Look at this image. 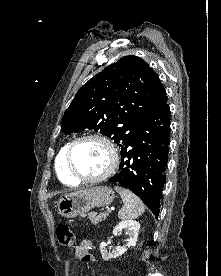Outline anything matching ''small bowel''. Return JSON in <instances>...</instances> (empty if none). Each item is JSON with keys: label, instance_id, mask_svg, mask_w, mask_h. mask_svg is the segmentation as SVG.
Returning <instances> with one entry per match:
<instances>
[{"label": "small bowel", "instance_id": "obj_1", "mask_svg": "<svg viewBox=\"0 0 221 276\" xmlns=\"http://www.w3.org/2000/svg\"><path fill=\"white\" fill-rule=\"evenodd\" d=\"M92 247V243L89 240H83L79 245L74 248V257L72 259V264L75 267L80 261L92 262L96 260L94 256L89 253Z\"/></svg>", "mask_w": 221, "mask_h": 276}]
</instances>
